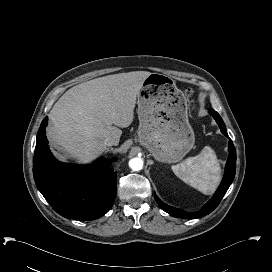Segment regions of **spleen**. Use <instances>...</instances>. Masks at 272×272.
<instances>
[{"instance_id":"obj_1","label":"spleen","mask_w":272,"mask_h":272,"mask_svg":"<svg viewBox=\"0 0 272 272\" xmlns=\"http://www.w3.org/2000/svg\"><path fill=\"white\" fill-rule=\"evenodd\" d=\"M174 174L203 194L210 195L221 179V168L214 150L204 147L200 154L173 165Z\"/></svg>"}]
</instances>
